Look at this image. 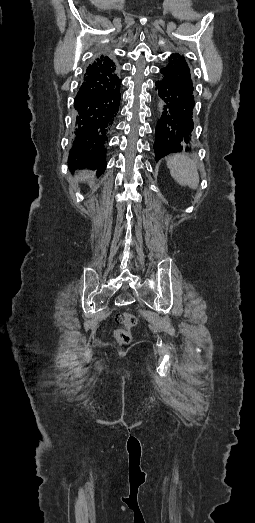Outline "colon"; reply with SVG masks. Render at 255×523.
<instances>
[{
    "label": "colon",
    "instance_id": "obj_1",
    "mask_svg": "<svg viewBox=\"0 0 255 523\" xmlns=\"http://www.w3.org/2000/svg\"><path fill=\"white\" fill-rule=\"evenodd\" d=\"M120 325L115 330V338L119 344H129L132 340V329L137 325V318L130 312H123L116 317Z\"/></svg>",
    "mask_w": 255,
    "mask_h": 523
}]
</instances>
